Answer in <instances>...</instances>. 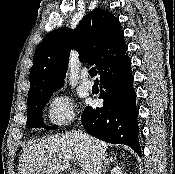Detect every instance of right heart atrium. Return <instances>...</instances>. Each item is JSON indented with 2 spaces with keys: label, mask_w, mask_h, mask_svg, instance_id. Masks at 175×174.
Instances as JSON below:
<instances>
[{
  "label": "right heart atrium",
  "mask_w": 175,
  "mask_h": 174,
  "mask_svg": "<svg viewBox=\"0 0 175 174\" xmlns=\"http://www.w3.org/2000/svg\"><path fill=\"white\" fill-rule=\"evenodd\" d=\"M47 116L49 122L54 125L69 123L75 116L71 99L66 95L53 97L48 104Z\"/></svg>",
  "instance_id": "1"
}]
</instances>
